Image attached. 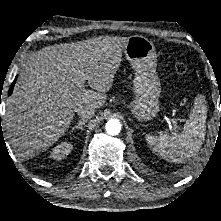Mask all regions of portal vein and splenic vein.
I'll use <instances>...</instances> for the list:
<instances>
[{
    "label": "portal vein and splenic vein",
    "instance_id": "1",
    "mask_svg": "<svg viewBox=\"0 0 221 221\" xmlns=\"http://www.w3.org/2000/svg\"><path fill=\"white\" fill-rule=\"evenodd\" d=\"M170 122H171L174 126H176V121H175L174 119H171Z\"/></svg>",
    "mask_w": 221,
    "mask_h": 221
}]
</instances>
